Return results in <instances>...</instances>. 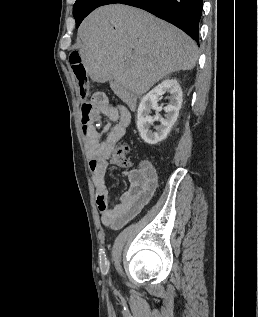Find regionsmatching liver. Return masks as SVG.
Instances as JSON below:
<instances>
[{
    "instance_id": "liver-1",
    "label": "liver",
    "mask_w": 258,
    "mask_h": 317,
    "mask_svg": "<svg viewBox=\"0 0 258 317\" xmlns=\"http://www.w3.org/2000/svg\"><path fill=\"white\" fill-rule=\"evenodd\" d=\"M80 56L95 82L110 80L120 98L144 94L174 70H191L198 46L188 34L150 12L128 4H106L78 28Z\"/></svg>"
}]
</instances>
